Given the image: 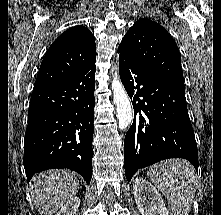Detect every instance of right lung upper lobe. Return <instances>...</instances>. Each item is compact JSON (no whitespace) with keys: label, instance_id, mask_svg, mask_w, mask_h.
<instances>
[{"label":"right lung upper lobe","instance_id":"right-lung-upper-lobe-1","mask_svg":"<svg viewBox=\"0 0 221 215\" xmlns=\"http://www.w3.org/2000/svg\"><path fill=\"white\" fill-rule=\"evenodd\" d=\"M95 61L94 36L84 26H74L63 32L48 49L40 65L34 89L68 79Z\"/></svg>","mask_w":221,"mask_h":215}]
</instances>
